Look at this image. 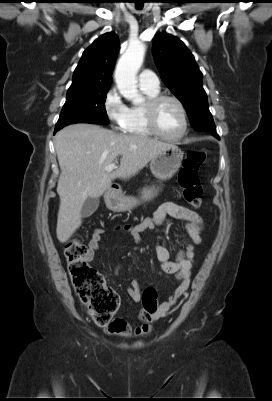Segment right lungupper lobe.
<instances>
[{
	"label": "right lung upper lobe",
	"mask_w": 272,
	"mask_h": 401,
	"mask_svg": "<svg viewBox=\"0 0 272 401\" xmlns=\"http://www.w3.org/2000/svg\"><path fill=\"white\" fill-rule=\"evenodd\" d=\"M119 39L113 33H105L96 39L82 54L67 94L87 89L110 87L111 74L119 52Z\"/></svg>",
	"instance_id": "1"
}]
</instances>
